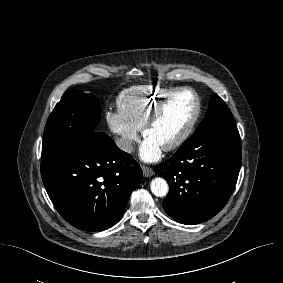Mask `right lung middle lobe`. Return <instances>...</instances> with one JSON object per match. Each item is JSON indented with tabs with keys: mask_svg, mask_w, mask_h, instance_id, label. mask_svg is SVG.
<instances>
[{
	"mask_svg": "<svg viewBox=\"0 0 283 283\" xmlns=\"http://www.w3.org/2000/svg\"><path fill=\"white\" fill-rule=\"evenodd\" d=\"M97 98L78 90L67 91L50 114L43 135L42 161L48 162L75 142L89 139L100 121Z\"/></svg>",
	"mask_w": 283,
	"mask_h": 283,
	"instance_id": "obj_1",
	"label": "right lung middle lobe"
}]
</instances>
